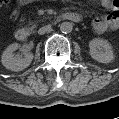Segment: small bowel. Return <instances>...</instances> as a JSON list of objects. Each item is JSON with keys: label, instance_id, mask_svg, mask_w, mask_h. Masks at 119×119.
<instances>
[{"label": "small bowel", "instance_id": "small-bowel-1", "mask_svg": "<svg viewBox=\"0 0 119 119\" xmlns=\"http://www.w3.org/2000/svg\"><path fill=\"white\" fill-rule=\"evenodd\" d=\"M101 5L110 10L104 17H97L92 21V28L96 33H104L107 30H115L119 27V0H102ZM17 13L14 12V16Z\"/></svg>", "mask_w": 119, "mask_h": 119}]
</instances>
